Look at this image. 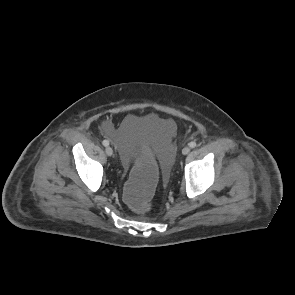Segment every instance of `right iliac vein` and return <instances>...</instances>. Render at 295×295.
Instances as JSON below:
<instances>
[{"label":"right iliac vein","mask_w":295,"mask_h":295,"mask_svg":"<svg viewBox=\"0 0 295 295\" xmlns=\"http://www.w3.org/2000/svg\"><path fill=\"white\" fill-rule=\"evenodd\" d=\"M105 151H106V154H107L108 156H112V154H113V149H112L110 146H107L106 149H105Z\"/></svg>","instance_id":"right-iliac-vein-1"}]
</instances>
